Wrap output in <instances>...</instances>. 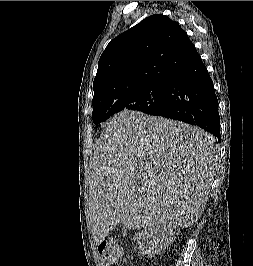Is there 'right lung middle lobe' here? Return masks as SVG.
Listing matches in <instances>:
<instances>
[{"label":"right lung middle lobe","mask_w":253,"mask_h":266,"mask_svg":"<svg viewBox=\"0 0 253 266\" xmlns=\"http://www.w3.org/2000/svg\"><path fill=\"white\" fill-rule=\"evenodd\" d=\"M166 85V81L152 82L95 104L93 105L92 120L99 125L122 110H137L153 115L163 106Z\"/></svg>","instance_id":"dd1d6c3e"}]
</instances>
